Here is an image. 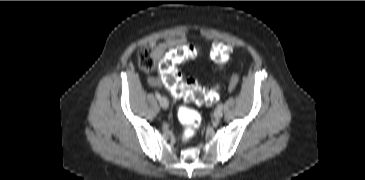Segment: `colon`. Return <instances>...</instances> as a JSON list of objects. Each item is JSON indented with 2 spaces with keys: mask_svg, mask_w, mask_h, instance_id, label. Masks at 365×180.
Here are the masks:
<instances>
[{
  "mask_svg": "<svg viewBox=\"0 0 365 180\" xmlns=\"http://www.w3.org/2000/svg\"><path fill=\"white\" fill-rule=\"evenodd\" d=\"M198 54V47L194 44H185L173 49L169 55L160 63L161 78L170 91L179 97L194 100L196 103L211 105L219 97L220 87L214 86L204 88L194 79L182 81L178 74L177 66L181 63L193 59ZM211 59L219 65L224 64L228 59V51L225 45L219 41L213 43L210 51ZM138 63L143 71L149 72L155 67V55L151 48L143 47L138 52ZM237 84V76L230 80V88ZM178 116L184 126L182 141L189 143L197 134L201 117L200 115L185 106L178 111Z\"/></svg>",
  "mask_w": 365,
  "mask_h": 180,
  "instance_id": "5ec220e1",
  "label": "colon"
}]
</instances>
